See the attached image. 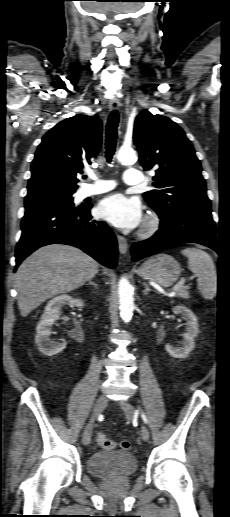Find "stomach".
I'll use <instances>...</instances> for the list:
<instances>
[{
    "mask_svg": "<svg viewBox=\"0 0 230 517\" xmlns=\"http://www.w3.org/2000/svg\"><path fill=\"white\" fill-rule=\"evenodd\" d=\"M181 267L179 263L171 256L166 254H158L145 263L137 270V274L161 286L168 287L172 285L179 277Z\"/></svg>",
    "mask_w": 230,
    "mask_h": 517,
    "instance_id": "obj_1",
    "label": "stomach"
}]
</instances>
